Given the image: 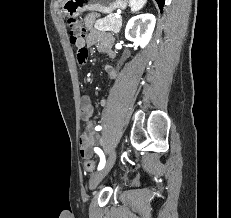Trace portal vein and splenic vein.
Segmentation results:
<instances>
[{"instance_id": "18ae733b", "label": "portal vein and splenic vein", "mask_w": 231, "mask_h": 218, "mask_svg": "<svg viewBox=\"0 0 231 218\" xmlns=\"http://www.w3.org/2000/svg\"><path fill=\"white\" fill-rule=\"evenodd\" d=\"M115 16H116V18H121V16L119 14H116Z\"/></svg>"}]
</instances>
